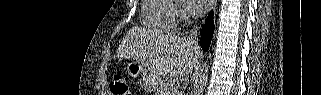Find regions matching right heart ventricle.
Here are the masks:
<instances>
[{"mask_svg":"<svg viewBox=\"0 0 321 95\" xmlns=\"http://www.w3.org/2000/svg\"><path fill=\"white\" fill-rule=\"evenodd\" d=\"M177 7L172 0H144L142 20L144 25L156 32H171L177 23Z\"/></svg>","mask_w":321,"mask_h":95,"instance_id":"1","label":"right heart ventricle"}]
</instances>
